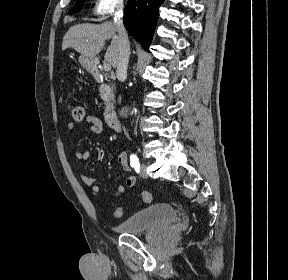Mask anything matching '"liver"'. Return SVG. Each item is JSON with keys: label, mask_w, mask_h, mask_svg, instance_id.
Returning <instances> with one entry per match:
<instances>
[{"label": "liver", "mask_w": 288, "mask_h": 280, "mask_svg": "<svg viewBox=\"0 0 288 280\" xmlns=\"http://www.w3.org/2000/svg\"><path fill=\"white\" fill-rule=\"evenodd\" d=\"M117 28L110 22L102 24L83 23L69 28L62 42V50L69 47L78 53L88 57H96L105 45L107 39H112L110 46L105 53V60L112 67H117L120 48L119 36L116 35Z\"/></svg>", "instance_id": "1"}]
</instances>
